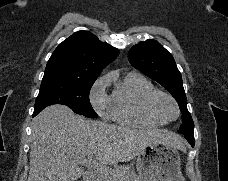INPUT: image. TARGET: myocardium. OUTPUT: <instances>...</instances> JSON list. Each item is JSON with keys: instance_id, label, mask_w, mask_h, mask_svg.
<instances>
[{"instance_id": "obj_1", "label": "myocardium", "mask_w": 228, "mask_h": 181, "mask_svg": "<svg viewBox=\"0 0 228 181\" xmlns=\"http://www.w3.org/2000/svg\"><path fill=\"white\" fill-rule=\"evenodd\" d=\"M158 96L168 99L172 105V109L175 112V114L178 113V107H177L174 99L171 96H169L168 94L161 92V91H156V90H154L144 96V99L142 102L143 112L148 118L158 120L160 122L168 121L169 120L168 118L160 117L154 109V101Z\"/></svg>"}]
</instances>
